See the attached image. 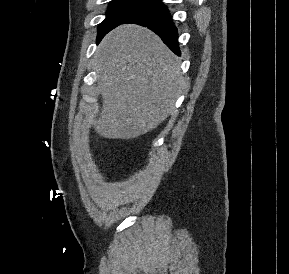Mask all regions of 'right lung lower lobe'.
<instances>
[{
	"mask_svg": "<svg viewBox=\"0 0 289 274\" xmlns=\"http://www.w3.org/2000/svg\"><path fill=\"white\" fill-rule=\"evenodd\" d=\"M135 23L148 27L161 37L163 42L177 55H180L177 28L164 4H158L150 9L128 19L122 24Z\"/></svg>",
	"mask_w": 289,
	"mask_h": 274,
	"instance_id": "obj_1",
	"label": "right lung lower lobe"
}]
</instances>
